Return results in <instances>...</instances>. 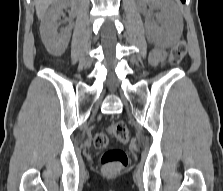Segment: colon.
<instances>
[{
  "instance_id": "obj_1",
  "label": "colon",
  "mask_w": 223,
  "mask_h": 191,
  "mask_svg": "<svg viewBox=\"0 0 223 191\" xmlns=\"http://www.w3.org/2000/svg\"><path fill=\"white\" fill-rule=\"evenodd\" d=\"M184 3V0H179ZM187 46L184 41L176 44L170 53V62L173 65L179 64L184 58ZM115 137L118 141L126 143L129 139L127 126L124 122L119 121L113 124L106 132H100L94 137V146L96 148H105L108 145L109 136ZM128 163V158L124 150L118 148H110L104 151L101 156V165L106 172H116Z\"/></svg>"
}]
</instances>
